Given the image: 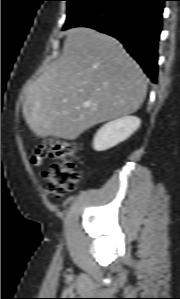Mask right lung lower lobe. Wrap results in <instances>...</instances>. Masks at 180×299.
Here are the masks:
<instances>
[{
  "instance_id": "obj_1",
  "label": "right lung lower lobe",
  "mask_w": 180,
  "mask_h": 299,
  "mask_svg": "<svg viewBox=\"0 0 180 299\" xmlns=\"http://www.w3.org/2000/svg\"><path fill=\"white\" fill-rule=\"evenodd\" d=\"M165 1L103 0L66 29L90 27L117 38L151 81L156 83Z\"/></svg>"
}]
</instances>
